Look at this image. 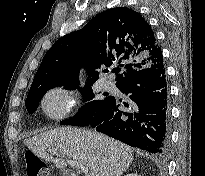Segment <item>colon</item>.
I'll use <instances>...</instances> for the list:
<instances>
[{
	"label": "colon",
	"mask_w": 205,
	"mask_h": 176,
	"mask_svg": "<svg viewBox=\"0 0 205 176\" xmlns=\"http://www.w3.org/2000/svg\"><path fill=\"white\" fill-rule=\"evenodd\" d=\"M27 176H50V170L45 162L34 152L26 151L24 153Z\"/></svg>",
	"instance_id": "5ec220e1"
}]
</instances>
